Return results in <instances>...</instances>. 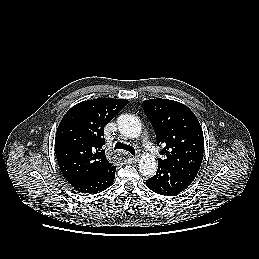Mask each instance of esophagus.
I'll use <instances>...</instances> for the list:
<instances>
[{
	"label": "esophagus",
	"mask_w": 259,
	"mask_h": 259,
	"mask_svg": "<svg viewBox=\"0 0 259 259\" xmlns=\"http://www.w3.org/2000/svg\"><path fill=\"white\" fill-rule=\"evenodd\" d=\"M127 160H128L129 162H133V163H134V162H136V161L138 160V157L128 154V155H127Z\"/></svg>",
	"instance_id": "34e87169"
}]
</instances>
